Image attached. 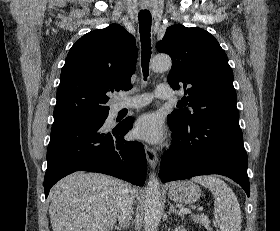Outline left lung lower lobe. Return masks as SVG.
<instances>
[{
	"label": "left lung lower lobe",
	"instance_id": "1",
	"mask_svg": "<svg viewBox=\"0 0 280 231\" xmlns=\"http://www.w3.org/2000/svg\"><path fill=\"white\" fill-rule=\"evenodd\" d=\"M167 121L175 135L172 149L161 159L162 182L220 174L238 183L249 197L248 158L239 120L205 119L183 125L168 115Z\"/></svg>",
	"mask_w": 280,
	"mask_h": 231
}]
</instances>
